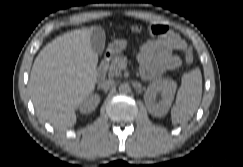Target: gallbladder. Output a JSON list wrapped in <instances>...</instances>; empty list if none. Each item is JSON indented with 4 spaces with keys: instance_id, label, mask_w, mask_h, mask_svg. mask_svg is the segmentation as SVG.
<instances>
[{
    "instance_id": "1",
    "label": "gallbladder",
    "mask_w": 243,
    "mask_h": 167,
    "mask_svg": "<svg viewBox=\"0 0 243 167\" xmlns=\"http://www.w3.org/2000/svg\"><path fill=\"white\" fill-rule=\"evenodd\" d=\"M91 46L93 51L100 55L105 46V32L101 27H94L91 33Z\"/></svg>"
}]
</instances>
